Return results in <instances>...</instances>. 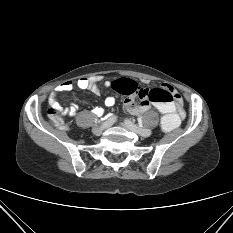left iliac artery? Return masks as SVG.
<instances>
[{
  "label": "left iliac artery",
  "mask_w": 233,
  "mask_h": 233,
  "mask_svg": "<svg viewBox=\"0 0 233 233\" xmlns=\"http://www.w3.org/2000/svg\"><path fill=\"white\" fill-rule=\"evenodd\" d=\"M140 133L142 134V136H149L151 135L153 132L150 129H141Z\"/></svg>",
  "instance_id": "left-iliac-artery-1"
}]
</instances>
